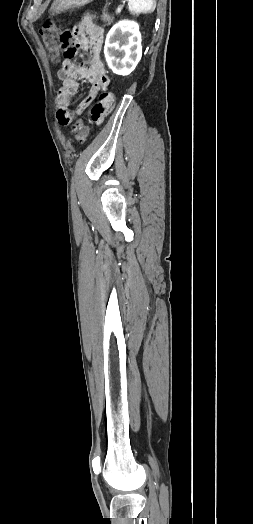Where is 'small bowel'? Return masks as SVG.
Instances as JSON below:
<instances>
[{
    "mask_svg": "<svg viewBox=\"0 0 253 524\" xmlns=\"http://www.w3.org/2000/svg\"><path fill=\"white\" fill-rule=\"evenodd\" d=\"M103 38V28L91 16L82 17L74 29H63L58 38L59 49L63 52L61 54L63 66L58 72L62 81V86L57 94L58 106L61 109L67 108L77 92L78 81L85 80L91 84V88L81 102L80 110H84L92 104L91 119L98 126L105 124V118L110 117L111 110L117 104V97L114 95L113 89L108 87L109 78L105 73L102 60ZM77 49L88 51L90 60L80 65L74 64L79 60Z\"/></svg>",
    "mask_w": 253,
    "mask_h": 524,
    "instance_id": "c3829d8e",
    "label": "small bowel"
}]
</instances>
